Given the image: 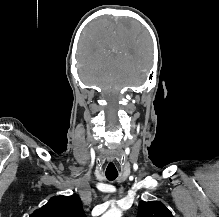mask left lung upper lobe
I'll return each instance as SVG.
<instances>
[{
  "label": "left lung upper lobe",
  "instance_id": "5c2ea615",
  "mask_svg": "<svg viewBox=\"0 0 219 217\" xmlns=\"http://www.w3.org/2000/svg\"><path fill=\"white\" fill-rule=\"evenodd\" d=\"M137 217H173L170 210L159 201H141L138 207Z\"/></svg>",
  "mask_w": 219,
  "mask_h": 217
}]
</instances>
